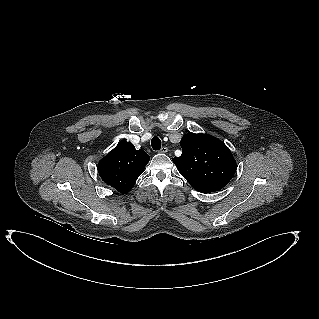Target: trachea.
Returning <instances> with one entry per match:
<instances>
[{"label":"trachea","mask_w":319,"mask_h":319,"mask_svg":"<svg viewBox=\"0 0 319 319\" xmlns=\"http://www.w3.org/2000/svg\"><path fill=\"white\" fill-rule=\"evenodd\" d=\"M151 146H152L153 150H160L161 140L157 136L153 137L151 140Z\"/></svg>","instance_id":"trachea-1"}]
</instances>
